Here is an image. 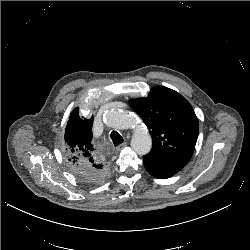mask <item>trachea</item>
<instances>
[{
  "label": "trachea",
  "instance_id": "trachea-1",
  "mask_svg": "<svg viewBox=\"0 0 250 250\" xmlns=\"http://www.w3.org/2000/svg\"><path fill=\"white\" fill-rule=\"evenodd\" d=\"M110 138H111L114 146H118V145H120L121 143L124 142L123 137L116 131L111 132Z\"/></svg>",
  "mask_w": 250,
  "mask_h": 250
}]
</instances>
